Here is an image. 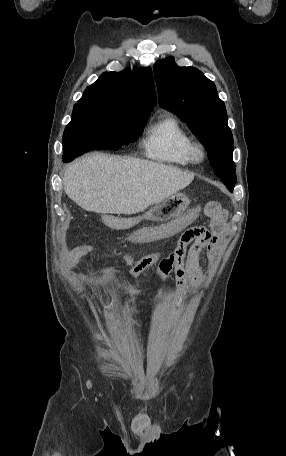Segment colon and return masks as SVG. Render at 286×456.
<instances>
[{"label": "colon", "instance_id": "colon-1", "mask_svg": "<svg viewBox=\"0 0 286 456\" xmlns=\"http://www.w3.org/2000/svg\"><path fill=\"white\" fill-rule=\"evenodd\" d=\"M220 208V205L216 201H210L206 204V209L209 211H215Z\"/></svg>", "mask_w": 286, "mask_h": 456}]
</instances>
